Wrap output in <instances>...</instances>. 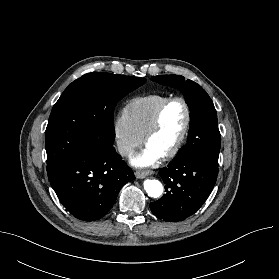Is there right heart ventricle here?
Masks as SVG:
<instances>
[{"mask_svg": "<svg viewBox=\"0 0 279 279\" xmlns=\"http://www.w3.org/2000/svg\"><path fill=\"white\" fill-rule=\"evenodd\" d=\"M168 98V95L150 94L135 97L128 102L124 113L134 129L143 136L150 126L159 106Z\"/></svg>", "mask_w": 279, "mask_h": 279, "instance_id": "obj_1", "label": "right heart ventricle"}]
</instances>
